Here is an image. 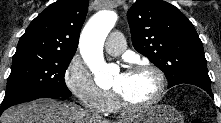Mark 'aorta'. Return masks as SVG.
<instances>
[{
  "instance_id": "1",
  "label": "aorta",
  "mask_w": 221,
  "mask_h": 123,
  "mask_svg": "<svg viewBox=\"0 0 221 123\" xmlns=\"http://www.w3.org/2000/svg\"><path fill=\"white\" fill-rule=\"evenodd\" d=\"M116 21L117 14L114 11H99L90 18L80 36L81 55L99 87L110 86L113 82L114 70L104 60L103 45Z\"/></svg>"
}]
</instances>
